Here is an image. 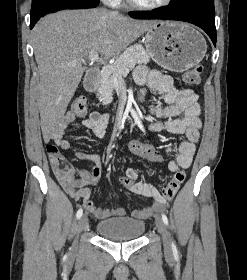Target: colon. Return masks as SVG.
I'll list each match as a JSON object with an SVG mask.
<instances>
[{
	"instance_id": "5ec220e1",
	"label": "colon",
	"mask_w": 247,
	"mask_h": 280,
	"mask_svg": "<svg viewBox=\"0 0 247 280\" xmlns=\"http://www.w3.org/2000/svg\"><path fill=\"white\" fill-rule=\"evenodd\" d=\"M202 74V66L197 65L183 74V80L188 85H196L200 82ZM71 112L76 116H83L87 112V103L84 98H77L71 104ZM129 152L141 158L148 159L153 162H159L162 157L158 154V149L153 143H148L146 139H140L138 136H131L127 145ZM47 153L51 163V167L58 178L69 179L74 175L75 169L66 157L59 151L55 145L47 146ZM185 180L184 171H177L172 176L168 184L162 189L163 197L167 200L172 199L181 184ZM119 185L124 188H131L133 181L127 176H119L117 179Z\"/></svg>"
}]
</instances>
